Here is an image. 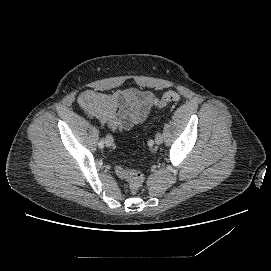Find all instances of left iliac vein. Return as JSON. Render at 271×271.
<instances>
[{
  "mask_svg": "<svg viewBox=\"0 0 271 271\" xmlns=\"http://www.w3.org/2000/svg\"><path fill=\"white\" fill-rule=\"evenodd\" d=\"M155 142H156L157 145L162 144V142H163V135L161 133H158L156 135Z\"/></svg>",
  "mask_w": 271,
  "mask_h": 271,
  "instance_id": "4c4485c4",
  "label": "left iliac vein"
}]
</instances>
